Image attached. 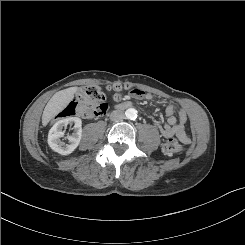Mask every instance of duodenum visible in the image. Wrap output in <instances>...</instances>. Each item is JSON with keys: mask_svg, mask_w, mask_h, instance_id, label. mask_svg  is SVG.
I'll return each instance as SVG.
<instances>
[{"mask_svg": "<svg viewBox=\"0 0 245 245\" xmlns=\"http://www.w3.org/2000/svg\"><path fill=\"white\" fill-rule=\"evenodd\" d=\"M132 106H133V104L130 102H125V103H122L121 105H119V107L123 108V109L130 108Z\"/></svg>", "mask_w": 245, "mask_h": 245, "instance_id": "1", "label": "duodenum"}]
</instances>
